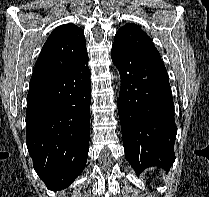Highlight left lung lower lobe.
Listing matches in <instances>:
<instances>
[{
	"label": "left lung lower lobe",
	"mask_w": 209,
	"mask_h": 197,
	"mask_svg": "<svg viewBox=\"0 0 209 197\" xmlns=\"http://www.w3.org/2000/svg\"><path fill=\"white\" fill-rule=\"evenodd\" d=\"M121 75L118 113L125 157L137 174L151 166L169 171L177 127L168 74L162 60L112 45Z\"/></svg>",
	"instance_id": "1"
}]
</instances>
